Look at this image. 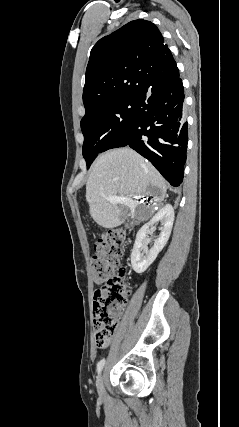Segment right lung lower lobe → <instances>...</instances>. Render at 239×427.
<instances>
[{"mask_svg":"<svg viewBox=\"0 0 239 427\" xmlns=\"http://www.w3.org/2000/svg\"><path fill=\"white\" fill-rule=\"evenodd\" d=\"M188 129L179 74L142 91L135 102L129 145L148 159L172 185L183 181Z\"/></svg>","mask_w":239,"mask_h":427,"instance_id":"obj_1","label":"right lung lower lobe"}]
</instances>
